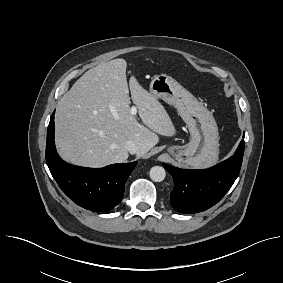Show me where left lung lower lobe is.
I'll return each instance as SVG.
<instances>
[{
	"label": "left lung lower lobe",
	"instance_id": "obj_1",
	"mask_svg": "<svg viewBox=\"0 0 283 283\" xmlns=\"http://www.w3.org/2000/svg\"><path fill=\"white\" fill-rule=\"evenodd\" d=\"M245 142L229 159L205 170H184L163 163L174 179L170 194L173 208L181 213L202 212L218 203L238 177Z\"/></svg>",
	"mask_w": 283,
	"mask_h": 283
}]
</instances>
